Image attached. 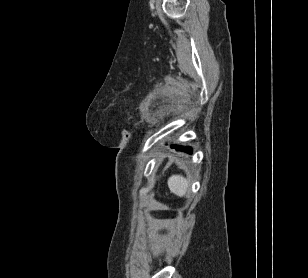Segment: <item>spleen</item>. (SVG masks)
Returning <instances> with one entry per match:
<instances>
[{
    "label": "spleen",
    "instance_id": "obj_1",
    "mask_svg": "<svg viewBox=\"0 0 308 278\" xmlns=\"http://www.w3.org/2000/svg\"><path fill=\"white\" fill-rule=\"evenodd\" d=\"M168 187L172 193L183 197L189 188V181L182 175H172L168 179Z\"/></svg>",
    "mask_w": 308,
    "mask_h": 278
}]
</instances>
